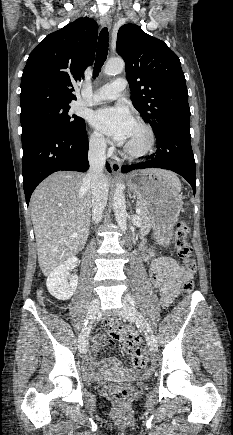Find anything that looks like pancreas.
<instances>
[{"instance_id": "pancreas-1", "label": "pancreas", "mask_w": 233, "mask_h": 435, "mask_svg": "<svg viewBox=\"0 0 233 435\" xmlns=\"http://www.w3.org/2000/svg\"><path fill=\"white\" fill-rule=\"evenodd\" d=\"M137 208L140 209V213L138 214V217L141 221L140 234L145 235L150 231L152 226L150 218L148 216V210L146 206H144L142 203H138Z\"/></svg>"}]
</instances>
